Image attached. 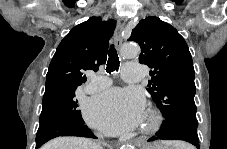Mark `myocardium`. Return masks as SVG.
<instances>
[{"instance_id":"1","label":"myocardium","mask_w":227,"mask_h":149,"mask_svg":"<svg viewBox=\"0 0 227 149\" xmlns=\"http://www.w3.org/2000/svg\"><path fill=\"white\" fill-rule=\"evenodd\" d=\"M162 123V115L156 109H150L148 111L147 121L142 127L144 133L155 132Z\"/></svg>"}]
</instances>
